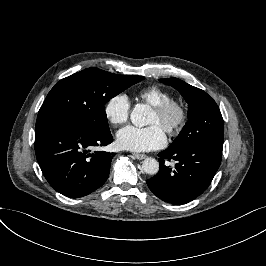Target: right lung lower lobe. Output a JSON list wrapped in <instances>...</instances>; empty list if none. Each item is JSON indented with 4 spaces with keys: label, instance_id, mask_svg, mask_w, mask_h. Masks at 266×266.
Masks as SVG:
<instances>
[{
    "label": "right lung lower lobe",
    "instance_id": "right-lung-lower-lobe-1",
    "mask_svg": "<svg viewBox=\"0 0 266 266\" xmlns=\"http://www.w3.org/2000/svg\"><path fill=\"white\" fill-rule=\"evenodd\" d=\"M109 132L95 133L68 121H56L35 130V153L49 184L59 193L79 198L107 180L113 153L91 148L106 146Z\"/></svg>",
    "mask_w": 266,
    "mask_h": 266
}]
</instances>
